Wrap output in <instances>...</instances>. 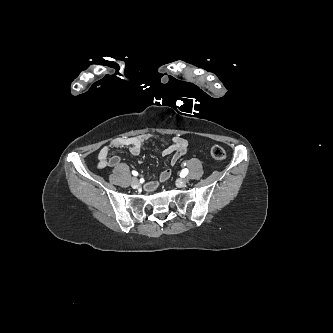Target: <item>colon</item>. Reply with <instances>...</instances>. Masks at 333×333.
Returning <instances> with one entry per match:
<instances>
[{
  "label": "colon",
  "mask_w": 333,
  "mask_h": 333,
  "mask_svg": "<svg viewBox=\"0 0 333 333\" xmlns=\"http://www.w3.org/2000/svg\"><path fill=\"white\" fill-rule=\"evenodd\" d=\"M210 154L214 160L219 162L224 161L226 158V152L220 146H213L210 150Z\"/></svg>",
  "instance_id": "obj_1"
}]
</instances>
